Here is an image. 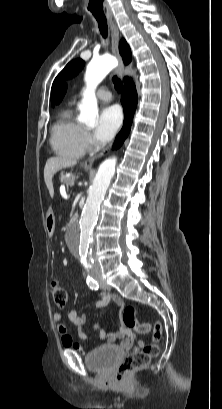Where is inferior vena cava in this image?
<instances>
[{"instance_id":"602c4592","label":"inferior vena cava","mask_w":222,"mask_h":409,"mask_svg":"<svg viewBox=\"0 0 222 409\" xmlns=\"http://www.w3.org/2000/svg\"><path fill=\"white\" fill-rule=\"evenodd\" d=\"M93 268H98L97 264H92Z\"/></svg>"}]
</instances>
